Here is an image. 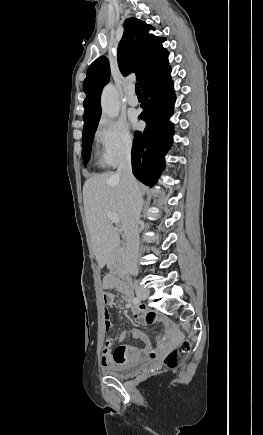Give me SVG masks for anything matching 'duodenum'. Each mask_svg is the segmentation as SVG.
Here are the masks:
<instances>
[{
    "instance_id": "duodenum-1",
    "label": "duodenum",
    "mask_w": 263,
    "mask_h": 435,
    "mask_svg": "<svg viewBox=\"0 0 263 435\" xmlns=\"http://www.w3.org/2000/svg\"><path fill=\"white\" fill-rule=\"evenodd\" d=\"M119 286L127 294H130L128 276L126 271H121L119 274Z\"/></svg>"
}]
</instances>
